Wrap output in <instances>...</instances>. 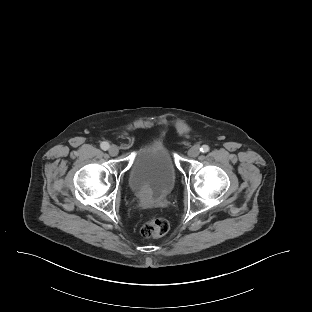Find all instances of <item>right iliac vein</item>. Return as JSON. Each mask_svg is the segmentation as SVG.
I'll use <instances>...</instances> for the list:
<instances>
[{
    "label": "right iliac vein",
    "instance_id": "63e3f726",
    "mask_svg": "<svg viewBox=\"0 0 312 312\" xmlns=\"http://www.w3.org/2000/svg\"><path fill=\"white\" fill-rule=\"evenodd\" d=\"M108 152H109V154H110L111 156H116V155L119 153V149H118L117 146L111 145V146L109 147Z\"/></svg>",
    "mask_w": 312,
    "mask_h": 312
}]
</instances>
